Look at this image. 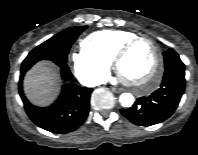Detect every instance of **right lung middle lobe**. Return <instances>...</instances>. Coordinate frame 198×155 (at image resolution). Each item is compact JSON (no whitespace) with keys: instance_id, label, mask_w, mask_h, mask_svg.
Instances as JSON below:
<instances>
[{"instance_id":"1","label":"right lung middle lobe","mask_w":198,"mask_h":155,"mask_svg":"<svg viewBox=\"0 0 198 155\" xmlns=\"http://www.w3.org/2000/svg\"><path fill=\"white\" fill-rule=\"evenodd\" d=\"M85 29L86 26H77L60 32L33 49L23 63L40 59H58L67 61V54L71 45L78 35Z\"/></svg>"}]
</instances>
